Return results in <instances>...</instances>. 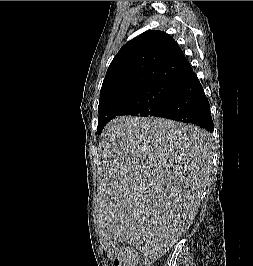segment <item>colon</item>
<instances>
[{"mask_svg": "<svg viewBox=\"0 0 253 266\" xmlns=\"http://www.w3.org/2000/svg\"><path fill=\"white\" fill-rule=\"evenodd\" d=\"M108 254L111 257L114 266H135L136 264L133 254L118 245H113Z\"/></svg>", "mask_w": 253, "mask_h": 266, "instance_id": "obj_1", "label": "colon"}]
</instances>
